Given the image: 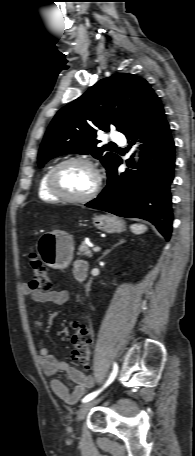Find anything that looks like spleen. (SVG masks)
<instances>
[{"instance_id":"spleen-1","label":"spleen","mask_w":195,"mask_h":456,"mask_svg":"<svg viewBox=\"0 0 195 456\" xmlns=\"http://www.w3.org/2000/svg\"><path fill=\"white\" fill-rule=\"evenodd\" d=\"M130 229H131V231H132L134 234H137V235H138V234H142V233L146 232L148 228H147V226L144 225V224H137V223H136V224H132V225L130 226Z\"/></svg>"}]
</instances>
